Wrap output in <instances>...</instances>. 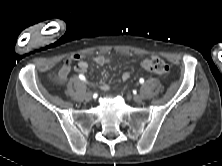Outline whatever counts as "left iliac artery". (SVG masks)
Listing matches in <instances>:
<instances>
[{
    "label": "left iliac artery",
    "instance_id": "1",
    "mask_svg": "<svg viewBox=\"0 0 222 166\" xmlns=\"http://www.w3.org/2000/svg\"><path fill=\"white\" fill-rule=\"evenodd\" d=\"M139 82H140L141 84H143V83H144V79H143V78H140Z\"/></svg>",
    "mask_w": 222,
    "mask_h": 166
}]
</instances>
